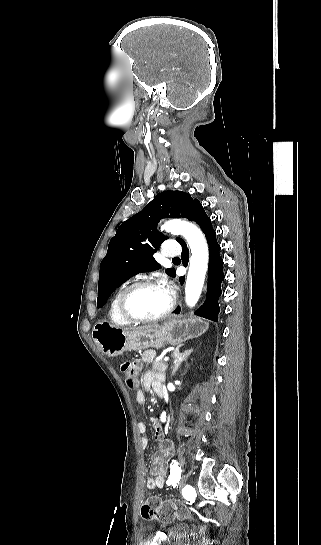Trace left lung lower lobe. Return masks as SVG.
Returning a JSON list of instances; mask_svg holds the SVG:
<instances>
[{
    "label": "left lung lower lobe",
    "instance_id": "0a47b994",
    "mask_svg": "<svg viewBox=\"0 0 321 545\" xmlns=\"http://www.w3.org/2000/svg\"><path fill=\"white\" fill-rule=\"evenodd\" d=\"M196 222L203 230L209 245V267H208V285H207V297L203 306H201L195 314L205 317L207 319L217 321L218 313L220 311L218 299L222 293L221 282L224 279L223 273V259L220 257V245L216 239V232L212 227L211 219L207 216L202 206L198 207L193 213L190 219ZM182 246V262L184 266H187L189 260V251L186 243L182 240L180 242ZM184 277H180L181 284L184 283ZM176 313L180 312V308L175 310Z\"/></svg>",
    "mask_w": 321,
    "mask_h": 545
}]
</instances>
